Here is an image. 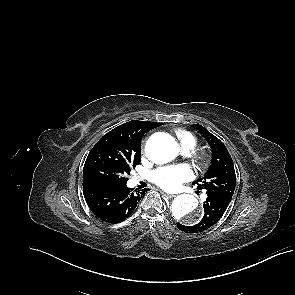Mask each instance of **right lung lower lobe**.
I'll use <instances>...</instances> for the list:
<instances>
[{"label": "right lung lower lobe", "instance_id": "obj_1", "mask_svg": "<svg viewBox=\"0 0 295 295\" xmlns=\"http://www.w3.org/2000/svg\"><path fill=\"white\" fill-rule=\"evenodd\" d=\"M147 189L135 193L124 185H87L83 194L91 211L102 221L119 223L128 218Z\"/></svg>", "mask_w": 295, "mask_h": 295}]
</instances>
